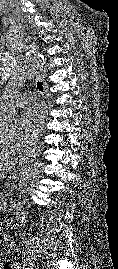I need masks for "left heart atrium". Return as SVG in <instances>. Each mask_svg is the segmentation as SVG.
Here are the masks:
<instances>
[{"instance_id":"1","label":"left heart atrium","mask_w":118,"mask_h":269,"mask_svg":"<svg viewBox=\"0 0 118 269\" xmlns=\"http://www.w3.org/2000/svg\"><path fill=\"white\" fill-rule=\"evenodd\" d=\"M47 121L45 106L41 102H32L23 112L22 122L26 132L33 139L43 131Z\"/></svg>"}]
</instances>
